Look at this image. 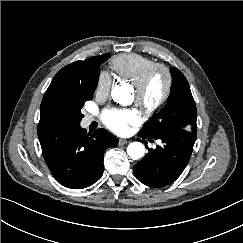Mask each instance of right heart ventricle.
<instances>
[{
    "mask_svg": "<svg viewBox=\"0 0 243 243\" xmlns=\"http://www.w3.org/2000/svg\"><path fill=\"white\" fill-rule=\"evenodd\" d=\"M154 63L151 58L128 53L114 57L110 61V68L118 78L134 84L142 73Z\"/></svg>",
    "mask_w": 243,
    "mask_h": 243,
    "instance_id": "e07e8e85",
    "label": "right heart ventricle"
}]
</instances>
